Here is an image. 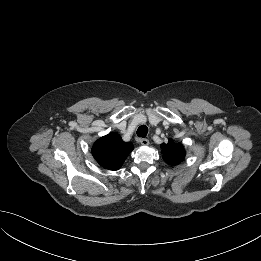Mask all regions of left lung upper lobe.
<instances>
[{"label":"left lung upper lobe","mask_w":261,"mask_h":261,"mask_svg":"<svg viewBox=\"0 0 261 261\" xmlns=\"http://www.w3.org/2000/svg\"><path fill=\"white\" fill-rule=\"evenodd\" d=\"M161 149L164 155L163 159L170 165H177L184 160L186 152L184 146L180 143L173 144L172 140L169 139L167 144L161 145Z\"/></svg>","instance_id":"left-lung-upper-lobe-1"}]
</instances>
